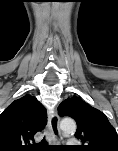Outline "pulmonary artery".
I'll use <instances>...</instances> for the list:
<instances>
[{"label": "pulmonary artery", "instance_id": "pulmonary-artery-1", "mask_svg": "<svg viewBox=\"0 0 118 151\" xmlns=\"http://www.w3.org/2000/svg\"><path fill=\"white\" fill-rule=\"evenodd\" d=\"M68 143L71 144V145H74V144H77L78 142H77V140H75V139H70V140L68 141Z\"/></svg>", "mask_w": 118, "mask_h": 151}]
</instances>
